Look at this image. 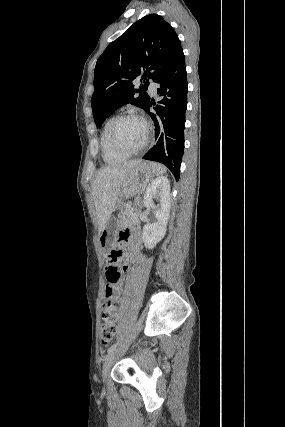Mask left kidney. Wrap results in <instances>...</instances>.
I'll return each mask as SVG.
<instances>
[{
    "instance_id": "5707ae66",
    "label": "left kidney",
    "mask_w": 285,
    "mask_h": 427,
    "mask_svg": "<svg viewBox=\"0 0 285 427\" xmlns=\"http://www.w3.org/2000/svg\"><path fill=\"white\" fill-rule=\"evenodd\" d=\"M154 200L158 201L157 205ZM143 206L153 209L157 219V222L144 225L142 233L145 247L153 249L164 238L170 216V184L166 176L151 182L145 192Z\"/></svg>"
}]
</instances>
